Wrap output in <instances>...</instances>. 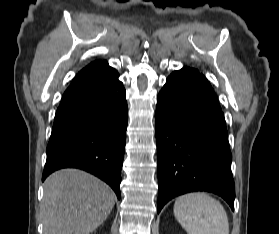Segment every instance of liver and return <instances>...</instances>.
<instances>
[{"instance_id":"liver-1","label":"liver","mask_w":279,"mask_h":234,"mask_svg":"<svg viewBox=\"0 0 279 234\" xmlns=\"http://www.w3.org/2000/svg\"><path fill=\"white\" fill-rule=\"evenodd\" d=\"M116 196L98 178L77 169H63L44 183V234H90L110 214Z\"/></svg>"}]
</instances>
